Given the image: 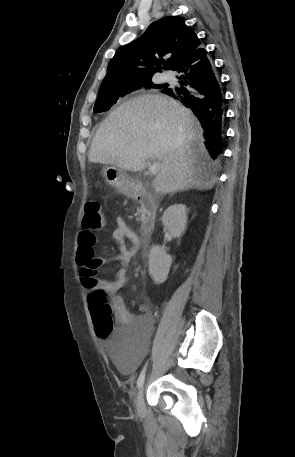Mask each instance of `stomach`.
I'll return each mask as SVG.
<instances>
[{
    "label": "stomach",
    "instance_id": "obj_1",
    "mask_svg": "<svg viewBox=\"0 0 295 457\" xmlns=\"http://www.w3.org/2000/svg\"><path fill=\"white\" fill-rule=\"evenodd\" d=\"M103 176L106 183L116 188L119 192L126 195L132 194L134 184L125 170L115 166H108L103 169Z\"/></svg>",
    "mask_w": 295,
    "mask_h": 457
}]
</instances>
